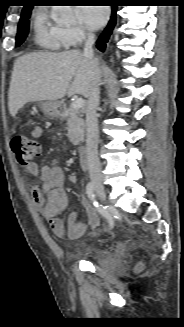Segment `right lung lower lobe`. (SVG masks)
<instances>
[{
    "instance_id": "obj_1",
    "label": "right lung lower lobe",
    "mask_w": 184,
    "mask_h": 327,
    "mask_svg": "<svg viewBox=\"0 0 184 327\" xmlns=\"http://www.w3.org/2000/svg\"><path fill=\"white\" fill-rule=\"evenodd\" d=\"M116 10L117 6H112V15L107 27L104 29L103 33L100 35L99 39L97 40V48L101 51H104L106 47V42L108 41L112 30L116 24Z\"/></svg>"
}]
</instances>
